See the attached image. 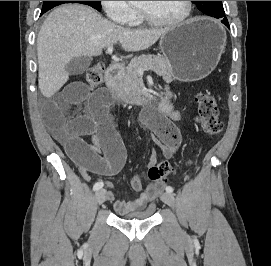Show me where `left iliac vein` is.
Instances as JSON below:
<instances>
[{"mask_svg": "<svg viewBox=\"0 0 271 266\" xmlns=\"http://www.w3.org/2000/svg\"><path fill=\"white\" fill-rule=\"evenodd\" d=\"M161 200L165 202L167 205L172 207L173 209L176 208V201L174 196L171 193H163L161 195Z\"/></svg>", "mask_w": 271, "mask_h": 266, "instance_id": "4c4485c4", "label": "left iliac vein"}]
</instances>
